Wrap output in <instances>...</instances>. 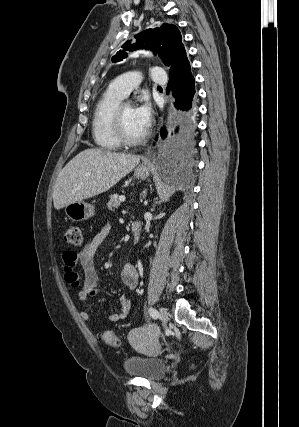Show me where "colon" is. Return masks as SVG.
I'll return each instance as SVG.
<instances>
[{"mask_svg":"<svg viewBox=\"0 0 299 427\" xmlns=\"http://www.w3.org/2000/svg\"><path fill=\"white\" fill-rule=\"evenodd\" d=\"M64 239L70 245L81 246L83 243V238L80 227L78 225H70L67 227L64 231ZM98 338L107 345L115 348H119L122 344L121 338L111 330H100L98 332Z\"/></svg>","mask_w":299,"mask_h":427,"instance_id":"obj_1","label":"colon"}]
</instances>
